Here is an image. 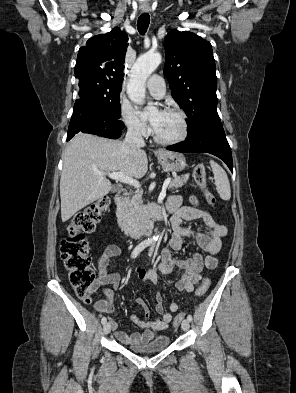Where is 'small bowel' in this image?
<instances>
[{
  "mask_svg": "<svg viewBox=\"0 0 296 393\" xmlns=\"http://www.w3.org/2000/svg\"><path fill=\"white\" fill-rule=\"evenodd\" d=\"M167 211L171 216L170 220L173 226V235L162 250L161 261L151 269L137 270V273L142 281L157 285L158 272L169 275L172 274L176 268H180L184 272L176 281V288L179 291L192 292L195 286L200 282L202 272L204 270L210 271L216 268L218 263L216 254L221 249L222 238L227 234V227L222 223L216 222L214 218L204 210L182 206V199L179 196H174L168 201ZM183 220H202L206 225L207 231L204 232L191 227H183L181 226ZM187 240L196 242L205 255L203 256L195 252L188 258H175L173 253L181 250L184 242ZM121 253L122 249L119 245L111 244L99 255L97 259L99 273L97 287L111 285L113 290L119 288L121 278L119 274L109 272L108 265L112 258L120 256ZM95 289L93 291H95ZM113 290L103 289L105 299L98 300L93 304L97 312L110 314L115 312ZM91 293L88 296L80 297L85 304L92 303ZM135 302L143 308L145 318L141 319L136 315H132L131 321L136 326L145 329L143 333L135 332L129 335L120 329L113 319H109V323L117 339L126 345L138 346L149 343L159 331L169 327L173 319V314L179 308L178 304L173 302L169 306V311H166L164 308V298L160 293H157L155 295L154 310L160 315V318L151 319L150 311L145 300L138 297L135 299Z\"/></svg>",
  "mask_w": 296,
  "mask_h": 393,
  "instance_id": "small-bowel-1",
  "label": "small bowel"
}]
</instances>
